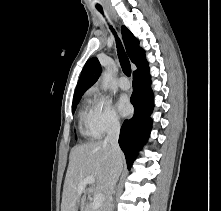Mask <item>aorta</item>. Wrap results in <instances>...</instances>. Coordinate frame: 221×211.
I'll use <instances>...</instances> for the list:
<instances>
[{
    "label": "aorta",
    "mask_w": 221,
    "mask_h": 211,
    "mask_svg": "<svg viewBox=\"0 0 221 211\" xmlns=\"http://www.w3.org/2000/svg\"><path fill=\"white\" fill-rule=\"evenodd\" d=\"M113 81V75L110 70H106L102 75V88L107 90L110 88Z\"/></svg>",
    "instance_id": "aorta-1"
}]
</instances>
